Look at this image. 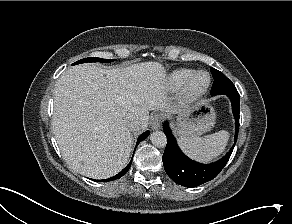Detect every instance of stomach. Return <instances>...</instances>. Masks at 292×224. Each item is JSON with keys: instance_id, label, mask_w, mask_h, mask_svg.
<instances>
[{"instance_id": "1", "label": "stomach", "mask_w": 292, "mask_h": 224, "mask_svg": "<svg viewBox=\"0 0 292 224\" xmlns=\"http://www.w3.org/2000/svg\"><path fill=\"white\" fill-rule=\"evenodd\" d=\"M175 130L181 137H198L210 131L216 122V111L209 99H201L178 114Z\"/></svg>"}]
</instances>
